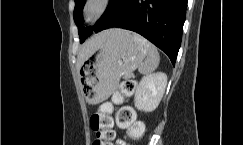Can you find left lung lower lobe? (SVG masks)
Masks as SVG:
<instances>
[{
    "label": "left lung lower lobe",
    "instance_id": "obj_1",
    "mask_svg": "<svg viewBox=\"0 0 243 145\" xmlns=\"http://www.w3.org/2000/svg\"><path fill=\"white\" fill-rule=\"evenodd\" d=\"M188 0H123L104 13L91 28L95 33L112 28L137 32L163 50L175 64L181 45Z\"/></svg>",
    "mask_w": 243,
    "mask_h": 145
}]
</instances>
